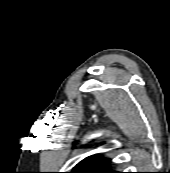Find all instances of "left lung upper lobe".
<instances>
[{
  "label": "left lung upper lobe",
  "instance_id": "obj_1",
  "mask_svg": "<svg viewBox=\"0 0 170 173\" xmlns=\"http://www.w3.org/2000/svg\"><path fill=\"white\" fill-rule=\"evenodd\" d=\"M68 173H121L111 169L110 160L100 154L92 155L79 162Z\"/></svg>",
  "mask_w": 170,
  "mask_h": 173
}]
</instances>
